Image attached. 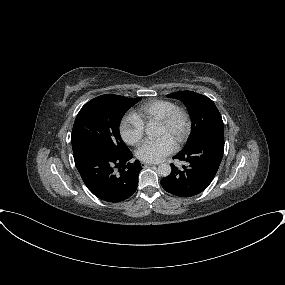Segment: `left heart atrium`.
<instances>
[{"label": "left heart atrium", "instance_id": "1", "mask_svg": "<svg viewBox=\"0 0 285 285\" xmlns=\"http://www.w3.org/2000/svg\"><path fill=\"white\" fill-rule=\"evenodd\" d=\"M176 148L175 142L168 136L144 143L136 152V157L145 163H157L171 154Z\"/></svg>", "mask_w": 285, "mask_h": 285}]
</instances>
